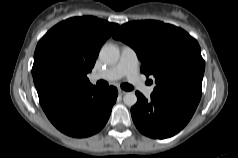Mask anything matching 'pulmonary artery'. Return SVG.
Returning <instances> with one entry per match:
<instances>
[{
	"mask_svg": "<svg viewBox=\"0 0 238 158\" xmlns=\"http://www.w3.org/2000/svg\"><path fill=\"white\" fill-rule=\"evenodd\" d=\"M123 76L134 84L144 95L150 96L154 86L145 85L139 76V61L136 52L129 46H124L121 50L119 61L107 70L91 75V81L107 80L115 81Z\"/></svg>",
	"mask_w": 238,
	"mask_h": 158,
	"instance_id": "obj_1",
	"label": "pulmonary artery"
}]
</instances>
